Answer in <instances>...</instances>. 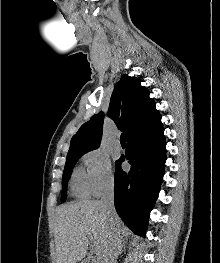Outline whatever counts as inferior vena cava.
Instances as JSON below:
<instances>
[{
    "mask_svg": "<svg viewBox=\"0 0 220 263\" xmlns=\"http://www.w3.org/2000/svg\"><path fill=\"white\" fill-rule=\"evenodd\" d=\"M100 203L107 216L111 233L109 236V245L104 256V263H116L119 248L121 246V231L117 228L115 220L118 217L114 207V180H109L103 187Z\"/></svg>",
    "mask_w": 220,
    "mask_h": 263,
    "instance_id": "obj_1",
    "label": "inferior vena cava"
}]
</instances>
